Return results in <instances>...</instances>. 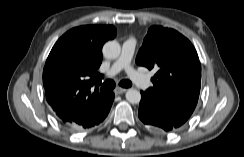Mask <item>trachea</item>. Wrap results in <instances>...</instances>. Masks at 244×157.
I'll return each instance as SVG.
<instances>
[{
    "mask_svg": "<svg viewBox=\"0 0 244 157\" xmlns=\"http://www.w3.org/2000/svg\"><path fill=\"white\" fill-rule=\"evenodd\" d=\"M120 86L128 88L132 86V82L129 80H122L119 83ZM115 88V82L113 80H106L103 85L101 86V91L105 92V91H110L112 89Z\"/></svg>",
    "mask_w": 244,
    "mask_h": 157,
    "instance_id": "trachea-1",
    "label": "trachea"
}]
</instances>
